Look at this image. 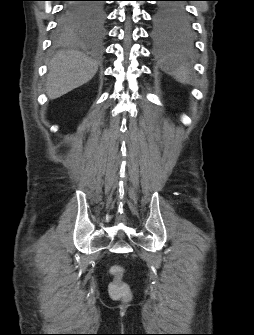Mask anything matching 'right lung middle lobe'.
<instances>
[{"label":"right lung middle lobe","instance_id":"1","mask_svg":"<svg viewBox=\"0 0 254 335\" xmlns=\"http://www.w3.org/2000/svg\"><path fill=\"white\" fill-rule=\"evenodd\" d=\"M92 6L96 8L99 13V21L92 27V29L88 31H83L79 28V19L76 17L75 22L65 30L57 31L55 32V38L57 40H67L70 39L74 36H79V35H100L103 33V24L105 20V13H104V8H103V3L102 2H93Z\"/></svg>","mask_w":254,"mask_h":335}]
</instances>
